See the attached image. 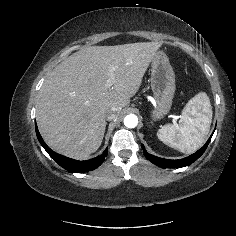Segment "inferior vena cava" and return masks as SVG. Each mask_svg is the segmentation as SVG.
<instances>
[{
    "label": "inferior vena cava",
    "instance_id": "inferior-vena-cava-1",
    "mask_svg": "<svg viewBox=\"0 0 236 236\" xmlns=\"http://www.w3.org/2000/svg\"><path fill=\"white\" fill-rule=\"evenodd\" d=\"M117 112H118L117 107H111L106 113L107 120H110V121L114 120L118 116Z\"/></svg>",
    "mask_w": 236,
    "mask_h": 236
}]
</instances>
